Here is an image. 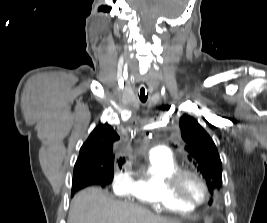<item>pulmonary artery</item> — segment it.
<instances>
[{
	"label": "pulmonary artery",
	"instance_id": "1",
	"mask_svg": "<svg viewBox=\"0 0 267 223\" xmlns=\"http://www.w3.org/2000/svg\"><path fill=\"white\" fill-rule=\"evenodd\" d=\"M150 155L152 156H159V157H169L171 156L170 150L163 145H159L154 147L151 152Z\"/></svg>",
	"mask_w": 267,
	"mask_h": 223
}]
</instances>
